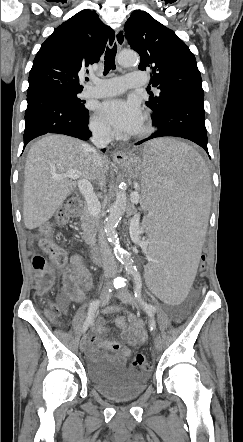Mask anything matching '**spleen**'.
<instances>
[{"instance_id": "3e777b00", "label": "spleen", "mask_w": 243, "mask_h": 442, "mask_svg": "<svg viewBox=\"0 0 243 442\" xmlns=\"http://www.w3.org/2000/svg\"><path fill=\"white\" fill-rule=\"evenodd\" d=\"M139 160L138 190L149 239L145 289L164 307H183L207 230L208 172L195 149L173 139L147 143Z\"/></svg>"}]
</instances>
